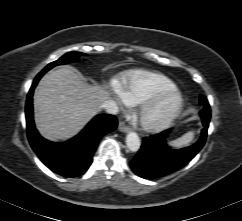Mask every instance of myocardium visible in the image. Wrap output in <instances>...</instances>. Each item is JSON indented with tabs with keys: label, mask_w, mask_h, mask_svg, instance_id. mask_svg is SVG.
<instances>
[{
	"label": "myocardium",
	"mask_w": 242,
	"mask_h": 221,
	"mask_svg": "<svg viewBox=\"0 0 242 221\" xmlns=\"http://www.w3.org/2000/svg\"><path fill=\"white\" fill-rule=\"evenodd\" d=\"M183 103L182 92L177 87L162 91L142 103L136 120L146 131L162 130L177 117Z\"/></svg>",
	"instance_id": "1"
}]
</instances>
